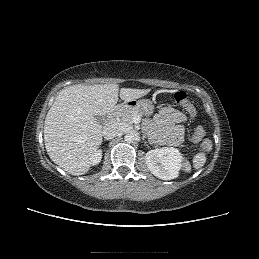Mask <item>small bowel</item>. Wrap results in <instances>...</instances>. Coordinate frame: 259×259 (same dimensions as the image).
<instances>
[{
  "instance_id": "obj_1",
  "label": "small bowel",
  "mask_w": 259,
  "mask_h": 259,
  "mask_svg": "<svg viewBox=\"0 0 259 259\" xmlns=\"http://www.w3.org/2000/svg\"><path fill=\"white\" fill-rule=\"evenodd\" d=\"M187 117L177 109L166 107L155 116L156 136L159 141L177 145L182 141L184 128L182 123Z\"/></svg>"
}]
</instances>
